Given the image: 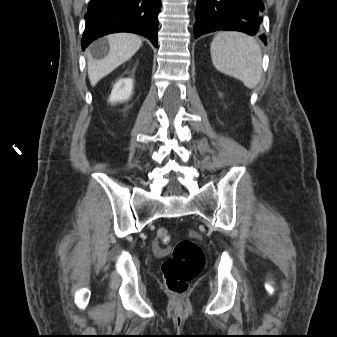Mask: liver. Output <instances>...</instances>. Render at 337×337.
<instances>
[{
  "label": "liver",
  "instance_id": "6515ba94",
  "mask_svg": "<svg viewBox=\"0 0 337 337\" xmlns=\"http://www.w3.org/2000/svg\"><path fill=\"white\" fill-rule=\"evenodd\" d=\"M109 52L106 57L96 60L88 55V77L92 86L128 61L141 47L142 40L132 33H114L106 37Z\"/></svg>",
  "mask_w": 337,
  "mask_h": 337
}]
</instances>
